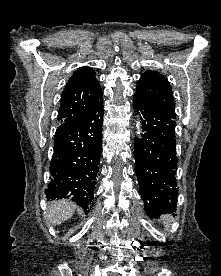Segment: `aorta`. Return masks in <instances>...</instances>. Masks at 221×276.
<instances>
[{
  "label": "aorta",
  "mask_w": 221,
  "mask_h": 276,
  "mask_svg": "<svg viewBox=\"0 0 221 276\" xmlns=\"http://www.w3.org/2000/svg\"><path fill=\"white\" fill-rule=\"evenodd\" d=\"M139 126H140V124H139V123H136V128H137V129H139Z\"/></svg>",
  "instance_id": "aorta-1"
}]
</instances>
